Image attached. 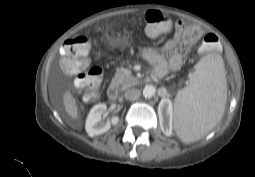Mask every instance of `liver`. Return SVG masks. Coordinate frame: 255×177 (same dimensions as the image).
I'll list each match as a JSON object with an SVG mask.
<instances>
[{
    "mask_svg": "<svg viewBox=\"0 0 255 177\" xmlns=\"http://www.w3.org/2000/svg\"><path fill=\"white\" fill-rule=\"evenodd\" d=\"M63 104L65 111L72 119L78 118L77 105L76 102L69 92H65L63 95Z\"/></svg>",
    "mask_w": 255,
    "mask_h": 177,
    "instance_id": "obj_1",
    "label": "liver"
}]
</instances>
